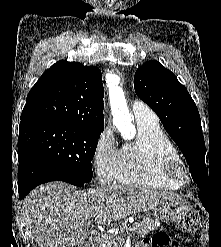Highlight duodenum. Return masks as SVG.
<instances>
[{
	"mask_svg": "<svg viewBox=\"0 0 221 247\" xmlns=\"http://www.w3.org/2000/svg\"><path fill=\"white\" fill-rule=\"evenodd\" d=\"M86 245L88 247H97L98 245V236L96 234H91L88 236L87 241H86Z\"/></svg>",
	"mask_w": 221,
	"mask_h": 247,
	"instance_id": "obj_1",
	"label": "duodenum"
}]
</instances>
